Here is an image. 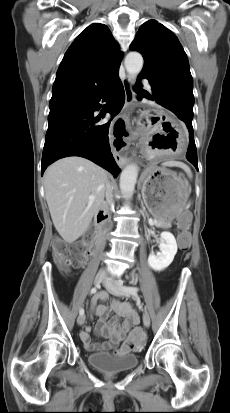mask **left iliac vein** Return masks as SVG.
Wrapping results in <instances>:
<instances>
[{
  "mask_svg": "<svg viewBox=\"0 0 230 413\" xmlns=\"http://www.w3.org/2000/svg\"><path fill=\"white\" fill-rule=\"evenodd\" d=\"M105 288L108 290L109 293L115 295V296H128L129 294H126L122 289V283L120 282H113L110 279H106L103 282ZM143 323L145 327L150 326V316L146 310L143 312Z\"/></svg>",
  "mask_w": 230,
  "mask_h": 413,
  "instance_id": "4c4485c4",
  "label": "left iliac vein"
}]
</instances>
